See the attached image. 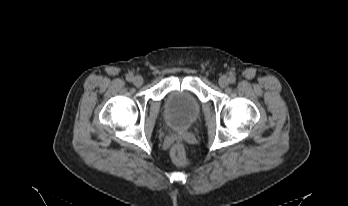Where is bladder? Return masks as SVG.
Instances as JSON below:
<instances>
[{"label": "bladder", "instance_id": "1", "mask_svg": "<svg viewBox=\"0 0 348 206\" xmlns=\"http://www.w3.org/2000/svg\"><path fill=\"white\" fill-rule=\"evenodd\" d=\"M169 122L178 128L189 127L200 113L197 97L186 90H173L169 93L166 105Z\"/></svg>", "mask_w": 348, "mask_h": 206}]
</instances>
